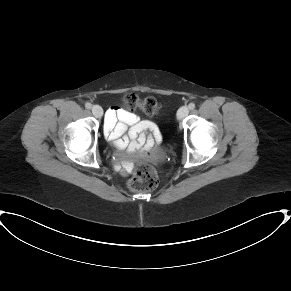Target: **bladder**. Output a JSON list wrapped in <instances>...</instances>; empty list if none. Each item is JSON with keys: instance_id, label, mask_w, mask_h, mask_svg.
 I'll return each instance as SVG.
<instances>
[{"instance_id": "bladder-1", "label": "bladder", "mask_w": 291, "mask_h": 291, "mask_svg": "<svg viewBox=\"0 0 291 291\" xmlns=\"http://www.w3.org/2000/svg\"><path fill=\"white\" fill-rule=\"evenodd\" d=\"M144 124L142 121H135L134 124H132V126H130V129L134 128L136 125H141Z\"/></svg>"}]
</instances>
